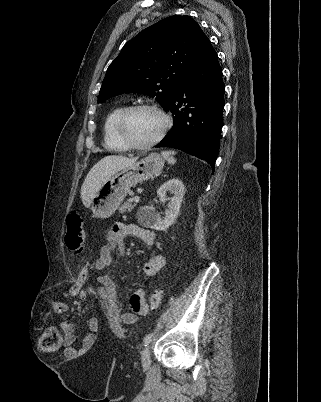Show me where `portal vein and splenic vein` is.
<instances>
[{
    "label": "portal vein and splenic vein",
    "mask_w": 321,
    "mask_h": 402,
    "mask_svg": "<svg viewBox=\"0 0 321 402\" xmlns=\"http://www.w3.org/2000/svg\"><path fill=\"white\" fill-rule=\"evenodd\" d=\"M139 196H135L134 198H133V200L135 201V202H139Z\"/></svg>",
    "instance_id": "1"
}]
</instances>
